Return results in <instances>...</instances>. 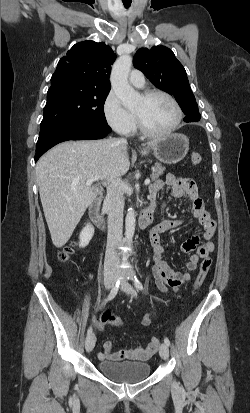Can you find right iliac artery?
I'll return each mask as SVG.
<instances>
[{
	"label": "right iliac artery",
	"mask_w": 250,
	"mask_h": 413,
	"mask_svg": "<svg viewBox=\"0 0 250 413\" xmlns=\"http://www.w3.org/2000/svg\"><path fill=\"white\" fill-rule=\"evenodd\" d=\"M119 286H120V281H118V282L113 286V288H112L109 296L107 297V299H105V301H104L103 304H105V303L108 302L109 300L113 299V298L117 295L118 290H119ZM91 333H92V327H89V329L87 330V335H90Z\"/></svg>",
	"instance_id": "1"
}]
</instances>
